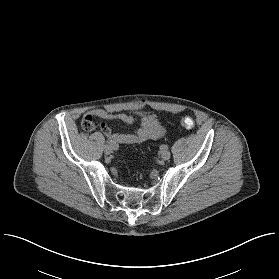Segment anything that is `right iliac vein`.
<instances>
[{"label": "right iliac vein", "instance_id": "right-iliac-vein-1", "mask_svg": "<svg viewBox=\"0 0 279 279\" xmlns=\"http://www.w3.org/2000/svg\"><path fill=\"white\" fill-rule=\"evenodd\" d=\"M112 151H113V149H112V146L111 145H105L104 146V152L106 153V154H110V153H112Z\"/></svg>", "mask_w": 279, "mask_h": 279}]
</instances>
